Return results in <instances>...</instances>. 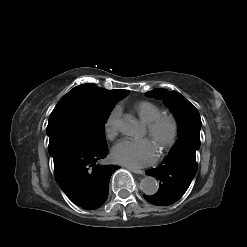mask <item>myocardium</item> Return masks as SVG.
<instances>
[{
  "mask_svg": "<svg viewBox=\"0 0 247 247\" xmlns=\"http://www.w3.org/2000/svg\"><path fill=\"white\" fill-rule=\"evenodd\" d=\"M164 129L168 132L162 135ZM147 132L158 144L162 152L168 151L174 146L179 136L178 120L170 114H161L147 123Z\"/></svg>",
  "mask_w": 247,
  "mask_h": 247,
  "instance_id": "f54148a6",
  "label": "myocardium"
}]
</instances>
